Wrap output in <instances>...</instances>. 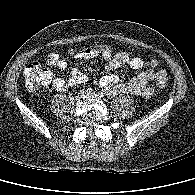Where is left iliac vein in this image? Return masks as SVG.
Masks as SVG:
<instances>
[{
	"label": "left iliac vein",
	"instance_id": "4c4485c4",
	"mask_svg": "<svg viewBox=\"0 0 195 195\" xmlns=\"http://www.w3.org/2000/svg\"><path fill=\"white\" fill-rule=\"evenodd\" d=\"M88 98H99V95L95 92L87 93Z\"/></svg>",
	"mask_w": 195,
	"mask_h": 195
}]
</instances>
